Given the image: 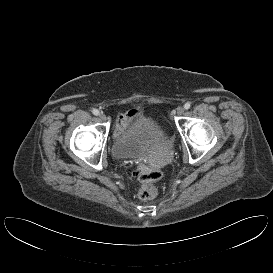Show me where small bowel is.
<instances>
[{
    "instance_id": "c3829d8e",
    "label": "small bowel",
    "mask_w": 273,
    "mask_h": 273,
    "mask_svg": "<svg viewBox=\"0 0 273 273\" xmlns=\"http://www.w3.org/2000/svg\"><path fill=\"white\" fill-rule=\"evenodd\" d=\"M141 114L142 112L139 110H131L129 112L120 114L117 118L116 134L122 133L128 127L129 123Z\"/></svg>"
}]
</instances>
